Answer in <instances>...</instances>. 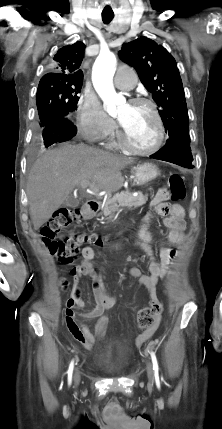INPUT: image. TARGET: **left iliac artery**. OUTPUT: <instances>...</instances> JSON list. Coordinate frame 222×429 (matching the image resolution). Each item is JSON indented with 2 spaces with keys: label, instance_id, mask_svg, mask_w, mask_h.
<instances>
[{
  "label": "left iliac artery",
  "instance_id": "left-iliac-artery-1",
  "mask_svg": "<svg viewBox=\"0 0 222 429\" xmlns=\"http://www.w3.org/2000/svg\"><path fill=\"white\" fill-rule=\"evenodd\" d=\"M150 355H151V360L153 363V370H154L155 379H156V381H158L159 380V366H158V362H157L155 352L151 351Z\"/></svg>",
  "mask_w": 222,
  "mask_h": 429
}]
</instances>
